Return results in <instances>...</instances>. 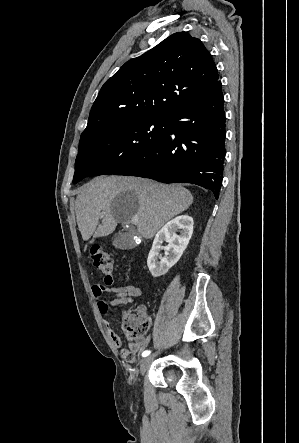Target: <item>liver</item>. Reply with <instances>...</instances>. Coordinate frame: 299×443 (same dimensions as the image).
I'll return each instance as SVG.
<instances>
[{"label":"liver","instance_id":"obj_1","mask_svg":"<svg viewBox=\"0 0 299 443\" xmlns=\"http://www.w3.org/2000/svg\"><path fill=\"white\" fill-rule=\"evenodd\" d=\"M192 203L191 192L182 186L136 177L100 176L82 187L75 211L84 241L91 236L105 237L118 223H129L134 216L139 218L138 233L151 239Z\"/></svg>","mask_w":299,"mask_h":443}]
</instances>
